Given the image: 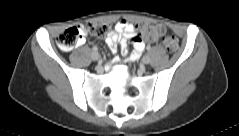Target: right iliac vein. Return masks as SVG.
Here are the masks:
<instances>
[{
  "instance_id": "1",
  "label": "right iliac vein",
  "mask_w": 239,
  "mask_h": 136,
  "mask_svg": "<svg viewBox=\"0 0 239 136\" xmlns=\"http://www.w3.org/2000/svg\"><path fill=\"white\" fill-rule=\"evenodd\" d=\"M99 58H100V55H99L98 52H93L92 53V59L93 60L97 61V60H99Z\"/></svg>"
}]
</instances>
